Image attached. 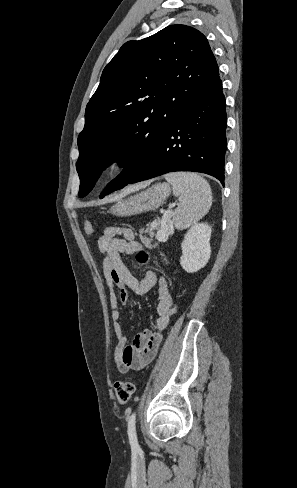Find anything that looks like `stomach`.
I'll list each match as a JSON object with an SVG mask.
<instances>
[{
	"instance_id": "stomach-1",
	"label": "stomach",
	"mask_w": 297,
	"mask_h": 488,
	"mask_svg": "<svg viewBox=\"0 0 297 488\" xmlns=\"http://www.w3.org/2000/svg\"><path fill=\"white\" fill-rule=\"evenodd\" d=\"M168 183H156L137 194L119 200L110 208V213L118 217H128L158 208L170 195Z\"/></svg>"
}]
</instances>
